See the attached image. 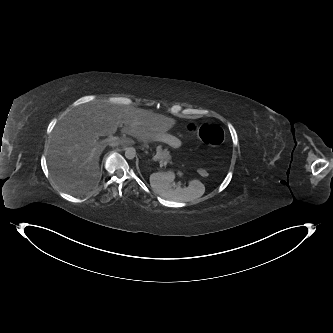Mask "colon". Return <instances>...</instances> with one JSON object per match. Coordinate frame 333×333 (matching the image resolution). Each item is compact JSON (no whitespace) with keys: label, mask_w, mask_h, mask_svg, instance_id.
I'll return each mask as SVG.
<instances>
[{"label":"colon","mask_w":333,"mask_h":333,"mask_svg":"<svg viewBox=\"0 0 333 333\" xmlns=\"http://www.w3.org/2000/svg\"><path fill=\"white\" fill-rule=\"evenodd\" d=\"M187 127L191 132L197 134L198 137L208 145L218 146L224 140V132L218 125L211 123H189ZM199 173L201 176L207 175L204 169H200Z\"/></svg>","instance_id":"5ec220e1"}]
</instances>
